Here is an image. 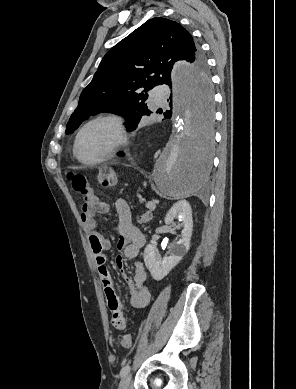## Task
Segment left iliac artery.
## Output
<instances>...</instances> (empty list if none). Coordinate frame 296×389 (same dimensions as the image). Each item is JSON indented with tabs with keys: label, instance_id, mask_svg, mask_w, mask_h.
<instances>
[{
	"label": "left iliac artery",
	"instance_id": "obj_1",
	"mask_svg": "<svg viewBox=\"0 0 296 389\" xmlns=\"http://www.w3.org/2000/svg\"><path fill=\"white\" fill-rule=\"evenodd\" d=\"M129 371H130V365L127 364L120 371L121 377L125 376Z\"/></svg>",
	"mask_w": 296,
	"mask_h": 389
}]
</instances>
